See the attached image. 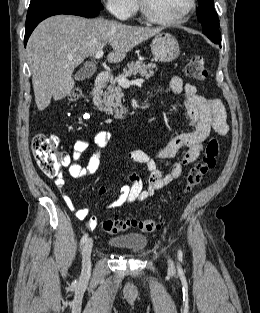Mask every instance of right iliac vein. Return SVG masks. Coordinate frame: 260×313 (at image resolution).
Segmentation results:
<instances>
[{"label": "right iliac vein", "mask_w": 260, "mask_h": 313, "mask_svg": "<svg viewBox=\"0 0 260 313\" xmlns=\"http://www.w3.org/2000/svg\"><path fill=\"white\" fill-rule=\"evenodd\" d=\"M91 252H92V240L88 239L82 250V277L89 278L91 273Z\"/></svg>", "instance_id": "right-iliac-vein-1"}]
</instances>
